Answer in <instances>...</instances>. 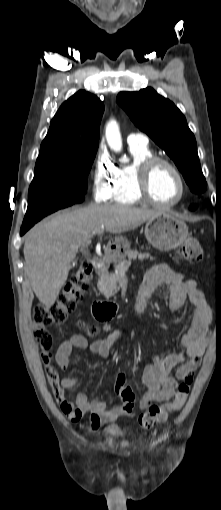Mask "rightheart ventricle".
Returning <instances> with one entry per match:
<instances>
[{"label":"right heart ventricle","mask_w":221,"mask_h":510,"mask_svg":"<svg viewBox=\"0 0 221 510\" xmlns=\"http://www.w3.org/2000/svg\"><path fill=\"white\" fill-rule=\"evenodd\" d=\"M132 162L115 167V182L111 199L120 204H138L142 200L136 187V170L141 161L153 156L148 144H129Z\"/></svg>","instance_id":"right-heart-ventricle-1"}]
</instances>
